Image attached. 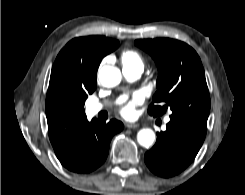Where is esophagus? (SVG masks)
<instances>
[{"label": "esophagus", "mask_w": 245, "mask_h": 195, "mask_svg": "<svg viewBox=\"0 0 245 195\" xmlns=\"http://www.w3.org/2000/svg\"><path fill=\"white\" fill-rule=\"evenodd\" d=\"M126 127L129 129H134V128H138L139 124L138 123H128L126 124Z\"/></svg>", "instance_id": "34e87169"}]
</instances>
